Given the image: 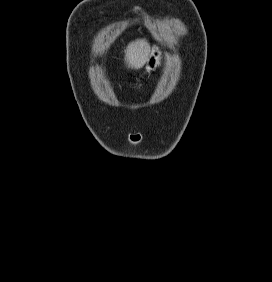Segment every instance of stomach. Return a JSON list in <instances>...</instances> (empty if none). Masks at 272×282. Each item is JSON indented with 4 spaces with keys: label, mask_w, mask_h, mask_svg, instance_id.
Masks as SVG:
<instances>
[{
    "label": "stomach",
    "mask_w": 272,
    "mask_h": 282,
    "mask_svg": "<svg viewBox=\"0 0 272 282\" xmlns=\"http://www.w3.org/2000/svg\"><path fill=\"white\" fill-rule=\"evenodd\" d=\"M163 61V50L157 45H153L146 63V72L150 73L161 66Z\"/></svg>",
    "instance_id": "obj_1"
}]
</instances>
